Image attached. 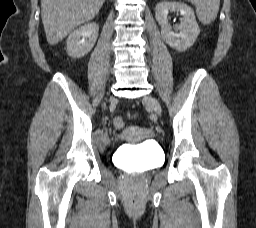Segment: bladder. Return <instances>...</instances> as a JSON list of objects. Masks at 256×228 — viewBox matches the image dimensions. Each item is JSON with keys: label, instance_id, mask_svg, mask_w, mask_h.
Instances as JSON below:
<instances>
[{"label": "bladder", "instance_id": "bladder-1", "mask_svg": "<svg viewBox=\"0 0 256 228\" xmlns=\"http://www.w3.org/2000/svg\"><path fill=\"white\" fill-rule=\"evenodd\" d=\"M101 143H107L108 137L103 135L100 139ZM159 159L158 151L153 147H148L141 151L137 156L132 157L139 167L142 169H148L156 165Z\"/></svg>", "mask_w": 256, "mask_h": 228}]
</instances>
